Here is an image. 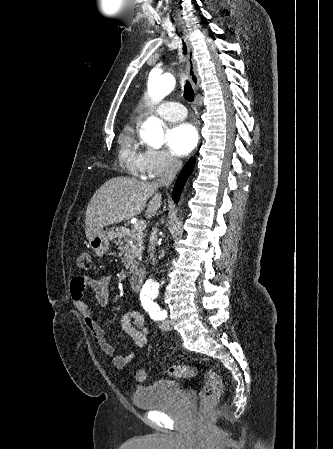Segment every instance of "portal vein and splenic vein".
<instances>
[{
  "mask_svg": "<svg viewBox=\"0 0 333 449\" xmlns=\"http://www.w3.org/2000/svg\"><path fill=\"white\" fill-rule=\"evenodd\" d=\"M146 228V224L143 221H138L134 225V229L137 231H142Z\"/></svg>",
  "mask_w": 333,
  "mask_h": 449,
  "instance_id": "obj_1",
  "label": "portal vein and splenic vein"
}]
</instances>
